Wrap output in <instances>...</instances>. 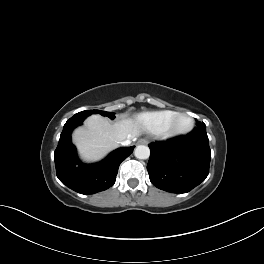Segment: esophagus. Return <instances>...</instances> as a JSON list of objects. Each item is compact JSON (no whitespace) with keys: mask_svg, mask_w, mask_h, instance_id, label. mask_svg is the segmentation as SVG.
Instances as JSON below:
<instances>
[{"mask_svg":"<svg viewBox=\"0 0 264 264\" xmlns=\"http://www.w3.org/2000/svg\"><path fill=\"white\" fill-rule=\"evenodd\" d=\"M147 143L148 142L145 139H141V140L138 141V144H147Z\"/></svg>","mask_w":264,"mask_h":264,"instance_id":"obj_1","label":"esophagus"}]
</instances>
